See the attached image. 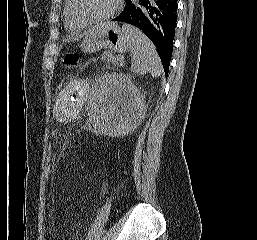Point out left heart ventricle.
I'll list each match as a JSON object with an SVG mask.
<instances>
[{
    "label": "left heart ventricle",
    "mask_w": 257,
    "mask_h": 240,
    "mask_svg": "<svg viewBox=\"0 0 257 240\" xmlns=\"http://www.w3.org/2000/svg\"><path fill=\"white\" fill-rule=\"evenodd\" d=\"M115 0H77V11L83 18L93 19L107 14Z\"/></svg>",
    "instance_id": "b2bd125f"
}]
</instances>
